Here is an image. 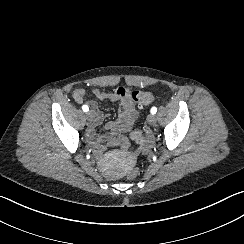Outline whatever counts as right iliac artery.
I'll return each instance as SVG.
<instances>
[{"instance_id":"right-iliac-artery-1","label":"right iliac artery","mask_w":244,"mask_h":244,"mask_svg":"<svg viewBox=\"0 0 244 244\" xmlns=\"http://www.w3.org/2000/svg\"><path fill=\"white\" fill-rule=\"evenodd\" d=\"M82 109H83L84 112H87L89 110V107L87 105H83Z\"/></svg>"}]
</instances>
